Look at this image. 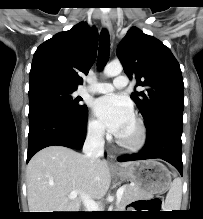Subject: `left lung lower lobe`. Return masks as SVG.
Returning <instances> with one entry per match:
<instances>
[{
    "label": "left lung lower lobe",
    "instance_id": "obj_1",
    "mask_svg": "<svg viewBox=\"0 0 203 219\" xmlns=\"http://www.w3.org/2000/svg\"><path fill=\"white\" fill-rule=\"evenodd\" d=\"M183 113H169L147 127V139L138 154L125 155L119 162L161 158L172 164L182 175Z\"/></svg>",
    "mask_w": 203,
    "mask_h": 219
}]
</instances>
